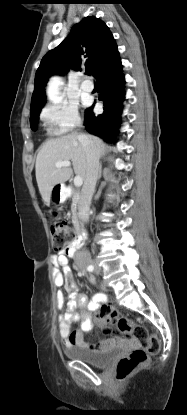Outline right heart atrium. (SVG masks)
Returning <instances> with one entry per match:
<instances>
[{
  "instance_id": "d8ad5b80",
  "label": "right heart atrium",
  "mask_w": 187,
  "mask_h": 415,
  "mask_svg": "<svg viewBox=\"0 0 187 415\" xmlns=\"http://www.w3.org/2000/svg\"><path fill=\"white\" fill-rule=\"evenodd\" d=\"M40 118L49 131L57 135L73 131L81 123L77 106L67 101L47 105Z\"/></svg>"
}]
</instances>
